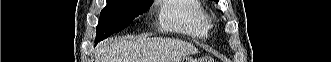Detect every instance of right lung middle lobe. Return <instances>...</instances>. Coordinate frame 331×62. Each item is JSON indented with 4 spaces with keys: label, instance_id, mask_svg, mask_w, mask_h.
<instances>
[{
    "label": "right lung middle lobe",
    "instance_id": "right-lung-middle-lobe-1",
    "mask_svg": "<svg viewBox=\"0 0 331 62\" xmlns=\"http://www.w3.org/2000/svg\"><path fill=\"white\" fill-rule=\"evenodd\" d=\"M151 5L150 0H107V6L101 11L96 27L95 42L123 30Z\"/></svg>",
    "mask_w": 331,
    "mask_h": 62
}]
</instances>
